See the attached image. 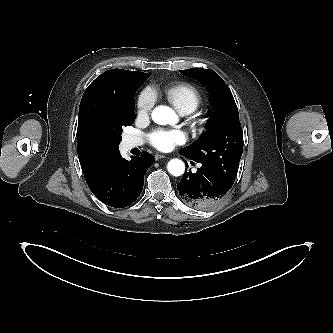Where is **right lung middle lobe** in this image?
I'll use <instances>...</instances> for the list:
<instances>
[{
	"instance_id": "obj_1",
	"label": "right lung middle lobe",
	"mask_w": 333,
	"mask_h": 333,
	"mask_svg": "<svg viewBox=\"0 0 333 333\" xmlns=\"http://www.w3.org/2000/svg\"><path fill=\"white\" fill-rule=\"evenodd\" d=\"M150 76L151 73H146L133 87L124 101H115L108 104L107 120L100 136V142L105 148L118 151V145L122 140V127L133 124L135 120L134 95L137 89Z\"/></svg>"
}]
</instances>
